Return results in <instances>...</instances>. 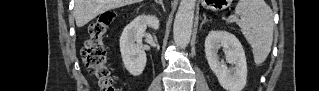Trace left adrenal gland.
Segmentation results:
<instances>
[{"label": "left adrenal gland", "instance_id": "left-adrenal-gland-1", "mask_svg": "<svg viewBox=\"0 0 319 91\" xmlns=\"http://www.w3.org/2000/svg\"><path fill=\"white\" fill-rule=\"evenodd\" d=\"M208 20L206 19V15L205 14H203V20H202V22H201V24H200V28L202 27V25L205 23V22H207Z\"/></svg>", "mask_w": 319, "mask_h": 91}]
</instances>
